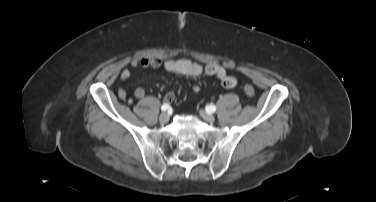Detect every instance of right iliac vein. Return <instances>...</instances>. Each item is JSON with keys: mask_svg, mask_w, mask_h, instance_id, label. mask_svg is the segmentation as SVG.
<instances>
[{"mask_svg": "<svg viewBox=\"0 0 376 202\" xmlns=\"http://www.w3.org/2000/svg\"><path fill=\"white\" fill-rule=\"evenodd\" d=\"M168 120H169V115H168V113H166V112H163L160 116H159V121L161 122V123H167L168 122Z\"/></svg>", "mask_w": 376, "mask_h": 202, "instance_id": "63e3f726", "label": "right iliac vein"}]
</instances>
